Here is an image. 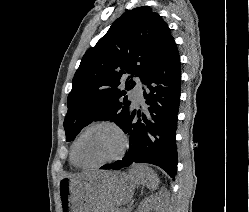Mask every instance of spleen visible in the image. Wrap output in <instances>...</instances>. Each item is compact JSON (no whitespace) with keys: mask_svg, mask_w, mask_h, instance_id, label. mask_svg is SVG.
<instances>
[{"mask_svg":"<svg viewBox=\"0 0 249 212\" xmlns=\"http://www.w3.org/2000/svg\"><path fill=\"white\" fill-rule=\"evenodd\" d=\"M147 172H146V182L145 184H147L148 188H150V190H156V186H157V178H156V174H154L153 170H151V168H146ZM151 174V176H150Z\"/></svg>","mask_w":249,"mask_h":212,"instance_id":"spleen-1","label":"spleen"}]
</instances>
